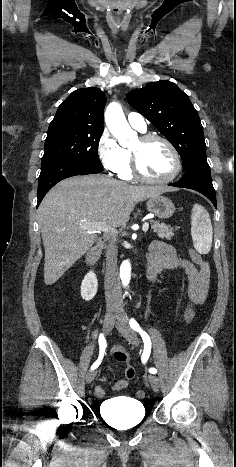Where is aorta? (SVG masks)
Instances as JSON below:
<instances>
[{
    "instance_id": "obj_1",
    "label": "aorta",
    "mask_w": 236,
    "mask_h": 467,
    "mask_svg": "<svg viewBox=\"0 0 236 467\" xmlns=\"http://www.w3.org/2000/svg\"><path fill=\"white\" fill-rule=\"evenodd\" d=\"M105 122L109 131L118 140L120 145L128 146L134 131L130 128L122 107L117 102L110 103L105 110ZM120 278L124 287H127L131 279V264L124 260L120 267Z\"/></svg>"
}]
</instances>
